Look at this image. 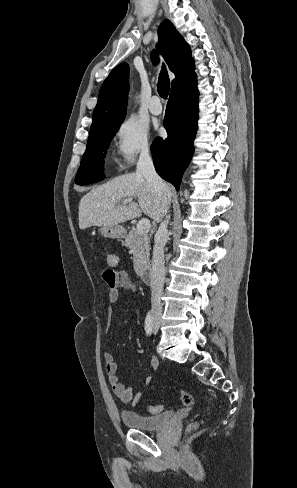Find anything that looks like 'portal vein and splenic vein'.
Masks as SVG:
<instances>
[{
    "instance_id": "1",
    "label": "portal vein and splenic vein",
    "mask_w": 297,
    "mask_h": 488,
    "mask_svg": "<svg viewBox=\"0 0 297 488\" xmlns=\"http://www.w3.org/2000/svg\"><path fill=\"white\" fill-rule=\"evenodd\" d=\"M133 199L132 198H127L124 200L123 204H127L129 202H132ZM114 206H112L111 208H113ZM137 230L138 232L140 233H147L149 232L150 228H151V224H150V221L148 219H141L139 220L138 224H137Z\"/></svg>"
}]
</instances>
